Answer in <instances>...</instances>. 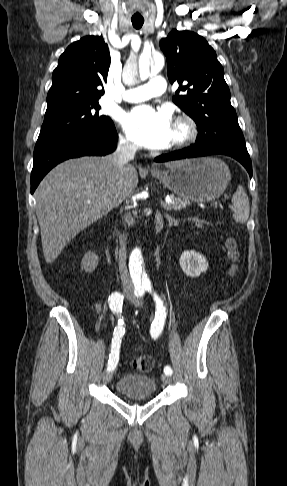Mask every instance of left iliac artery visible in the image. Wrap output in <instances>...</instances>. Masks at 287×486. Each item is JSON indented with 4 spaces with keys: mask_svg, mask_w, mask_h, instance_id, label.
Returning <instances> with one entry per match:
<instances>
[{
    "mask_svg": "<svg viewBox=\"0 0 287 486\" xmlns=\"http://www.w3.org/2000/svg\"><path fill=\"white\" fill-rule=\"evenodd\" d=\"M146 290L150 293H152V288L150 286L146 287ZM154 300L156 302V312H155V319L151 325V336L152 338L156 339L162 332L163 326L166 320V308L163 304V301L161 298L156 294L153 293ZM164 373L166 375H171L172 374V369L170 366H165L164 367Z\"/></svg>",
    "mask_w": 287,
    "mask_h": 486,
    "instance_id": "obj_1",
    "label": "left iliac artery"
}]
</instances>
